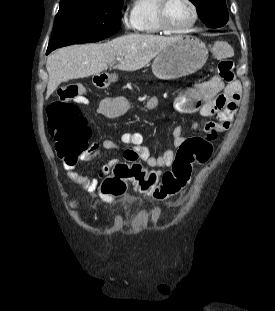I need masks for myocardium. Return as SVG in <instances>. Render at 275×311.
<instances>
[{"label":"myocardium","instance_id":"1","mask_svg":"<svg viewBox=\"0 0 275 311\" xmlns=\"http://www.w3.org/2000/svg\"><path fill=\"white\" fill-rule=\"evenodd\" d=\"M192 9V20L183 28L174 29L172 28L167 21V9L171 0H159L157 7V20L159 27L162 31L169 34H184L188 32L198 21L199 13L198 8L193 0H186Z\"/></svg>","mask_w":275,"mask_h":311}]
</instances>
